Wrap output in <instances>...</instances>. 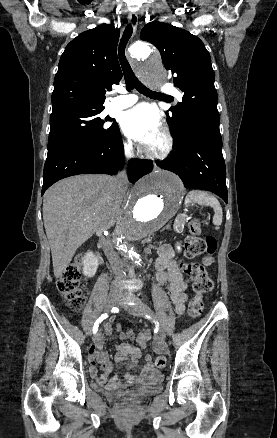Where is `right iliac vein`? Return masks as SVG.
<instances>
[{"label":"right iliac vein","mask_w":277,"mask_h":438,"mask_svg":"<svg viewBox=\"0 0 277 438\" xmlns=\"http://www.w3.org/2000/svg\"><path fill=\"white\" fill-rule=\"evenodd\" d=\"M118 300H119L118 296L110 295L108 297V300H107V303H106V306H105V311L108 312L111 308H113L117 304ZM100 339H101V332L98 331L93 336V342L96 343V342L100 341Z\"/></svg>","instance_id":"63e3f726"}]
</instances>
